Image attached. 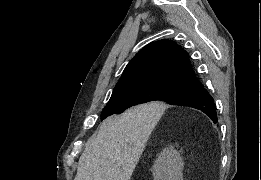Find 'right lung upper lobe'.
Wrapping results in <instances>:
<instances>
[{"instance_id":"right-lung-upper-lobe-1","label":"right lung upper lobe","mask_w":261,"mask_h":180,"mask_svg":"<svg viewBox=\"0 0 261 180\" xmlns=\"http://www.w3.org/2000/svg\"><path fill=\"white\" fill-rule=\"evenodd\" d=\"M172 80L200 83L192 70L188 53L173 41L158 40L146 45L135 55L114 90Z\"/></svg>"}]
</instances>
